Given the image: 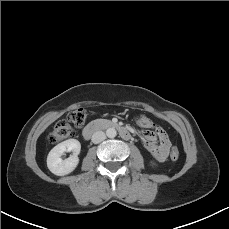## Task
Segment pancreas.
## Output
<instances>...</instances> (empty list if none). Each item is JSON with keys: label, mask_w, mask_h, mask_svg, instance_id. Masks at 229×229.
I'll list each match as a JSON object with an SVG mask.
<instances>
[{"label": "pancreas", "mask_w": 229, "mask_h": 229, "mask_svg": "<svg viewBox=\"0 0 229 229\" xmlns=\"http://www.w3.org/2000/svg\"><path fill=\"white\" fill-rule=\"evenodd\" d=\"M95 122L100 124V125L110 124L111 123L109 120H106V119H97Z\"/></svg>", "instance_id": "obj_1"}]
</instances>
